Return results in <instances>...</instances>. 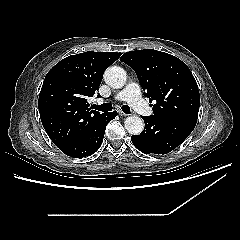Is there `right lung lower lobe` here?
<instances>
[{
  "instance_id": "obj_1",
  "label": "right lung lower lobe",
  "mask_w": 240,
  "mask_h": 240,
  "mask_svg": "<svg viewBox=\"0 0 240 240\" xmlns=\"http://www.w3.org/2000/svg\"><path fill=\"white\" fill-rule=\"evenodd\" d=\"M116 116V111L104 113L93 123L88 132L77 136L69 142L57 145V147L73 158H83L94 154L102 144L106 125Z\"/></svg>"
}]
</instances>
